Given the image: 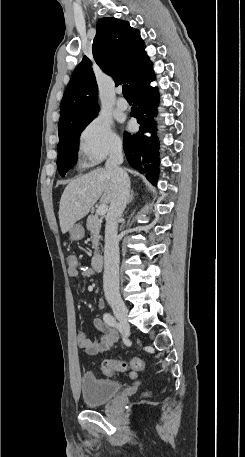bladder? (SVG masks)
<instances>
[{
	"instance_id": "1",
	"label": "bladder",
	"mask_w": 245,
	"mask_h": 457,
	"mask_svg": "<svg viewBox=\"0 0 245 457\" xmlns=\"http://www.w3.org/2000/svg\"><path fill=\"white\" fill-rule=\"evenodd\" d=\"M81 389L86 406H97L108 403L113 395L120 391L119 382L99 380L93 374L87 373L81 379Z\"/></svg>"
}]
</instances>
